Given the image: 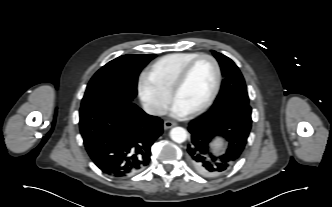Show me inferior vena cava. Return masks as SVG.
<instances>
[{
    "label": "inferior vena cava",
    "instance_id": "obj_1",
    "mask_svg": "<svg viewBox=\"0 0 332 207\" xmlns=\"http://www.w3.org/2000/svg\"><path fill=\"white\" fill-rule=\"evenodd\" d=\"M143 109L147 114L161 116L166 114V109L149 103L143 104Z\"/></svg>",
    "mask_w": 332,
    "mask_h": 207
}]
</instances>
